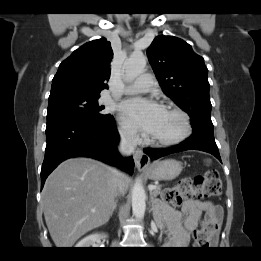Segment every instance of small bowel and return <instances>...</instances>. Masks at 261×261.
Wrapping results in <instances>:
<instances>
[{"instance_id": "c3829d8e", "label": "small bowel", "mask_w": 261, "mask_h": 261, "mask_svg": "<svg viewBox=\"0 0 261 261\" xmlns=\"http://www.w3.org/2000/svg\"><path fill=\"white\" fill-rule=\"evenodd\" d=\"M163 211L169 215L166 227L176 236H180L184 231L194 232L198 228L200 218L203 214L207 219L220 224L222 220V209L209 201L186 200L180 211L170 207H164Z\"/></svg>"}]
</instances>
